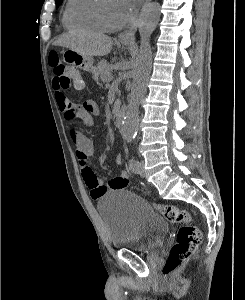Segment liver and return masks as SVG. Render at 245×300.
Returning <instances> with one entry per match:
<instances>
[{
    "label": "liver",
    "instance_id": "obj_1",
    "mask_svg": "<svg viewBox=\"0 0 245 300\" xmlns=\"http://www.w3.org/2000/svg\"><path fill=\"white\" fill-rule=\"evenodd\" d=\"M54 45L75 50L87 56H105L110 53L113 40L99 33H68L59 37Z\"/></svg>",
    "mask_w": 245,
    "mask_h": 300
}]
</instances>
